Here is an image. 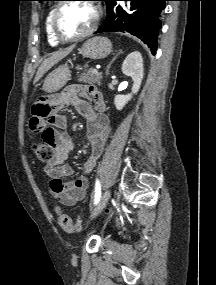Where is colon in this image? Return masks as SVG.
Listing matches in <instances>:
<instances>
[{
    "instance_id": "1",
    "label": "colon",
    "mask_w": 216,
    "mask_h": 285,
    "mask_svg": "<svg viewBox=\"0 0 216 285\" xmlns=\"http://www.w3.org/2000/svg\"><path fill=\"white\" fill-rule=\"evenodd\" d=\"M32 153L43 162L52 160L54 156L53 147H49V144H43V141H34L30 145ZM55 212L58 216V222L61 228L67 233H74L81 230L80 222L74 223L73 220L62 210L60 207H55Z\"/></svg>"
}]
</instances>
